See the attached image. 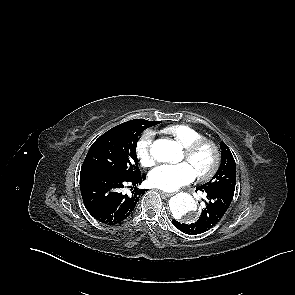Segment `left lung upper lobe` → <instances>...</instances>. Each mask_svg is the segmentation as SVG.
Wrapping results in <instances>:
<instances>
[{"mask_svg": "<svg viewBox=\"0 0 295 295\" xmlns=\"http://www.w3.org/2000/svg\"><path fill=\"white\" fill-rule=\"evenodd\" d=\"M221 148V164L213 176V178L203 184L201 187L207 189L213 188H227L231 190H235L236 185V164L235 160L232 156V153L228 146L224 143H220Z\"/></svg>", "mask_w": 295, "mask_h": 295, "instance_id": "1", "label": "left lung upper lobe"}]
</instances>
